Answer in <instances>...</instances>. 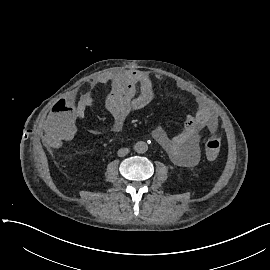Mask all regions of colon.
Segmentation results:
<instances>
[{
    "instance_id": "5ec220e1",
    "label": "colon",
    "mask_w": 270,
    "mask_h": 270,
    "mask_svg": "<svg viewBox=\"0 0 270 270\" xmlns=\"http://www.w3.org/2000/svg\"><path fill=\"white\" fill-rule=\"evenodd\" d=\"M220 147L221 142L218 137L209 136L204 139V150L209 157H215L220 151Z\"/></svg>"
}]
</instances>
